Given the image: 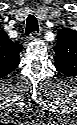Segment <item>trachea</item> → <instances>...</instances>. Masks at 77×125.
<instances>
[{"mask_svg":"<svg viewBox=\"0 0 77 125\" xmlns=\"http://www.w3.org/2000/svg\"><path fill=\"white\" fill-rule=\"evenodd\" d=\"M38 22L34 15L27 17V23L25 28V34L28 36L30 33L38 32Z\"/></svg>","mask_w":77,"mask_h":125,"instance_id":"3493384b","label":"trachea"}]
</instances>
